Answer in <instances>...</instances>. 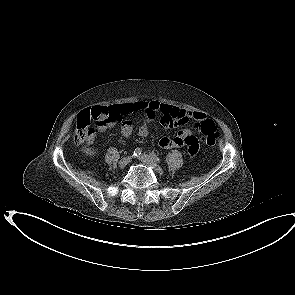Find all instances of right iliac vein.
<instances>
[{"instance_id": "63e3f726", "label": "right iliac vein", "mask_w": 295, "mask_h": 295, "mask_svg": "<svg viewBox=\"0 0 295 295\" xmlns=\"http://www.w3.org/2000/svg\"><path fill=\"white\" fill-rule=\"evenodd\" d=\"M132 157L131 156H126L124 158H122L120 161H119V166L120 167H125L126 165L129 164V162L131 161Z\"/></svg>"}]
</instances>
